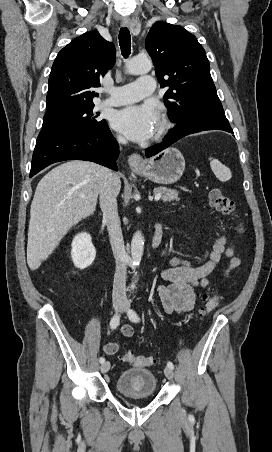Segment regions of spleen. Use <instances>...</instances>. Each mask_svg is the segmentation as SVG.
<instances>
[{"label":"spleen","mask_w":272,"mask_h":452,"mask_svg":"<svg viewBox=\"0 0 272 452\" xmlns=\"http://www.w3.org/2000/svg\"><path fill=\"white\" fill-rule=\"evenodd\" d=\"M210 166L220 181L226 182L231 179L232 173L230 169L223 165L219 160L210 158Z\"/></svg>","instance_id":"3e777b00"}]
</instances>
